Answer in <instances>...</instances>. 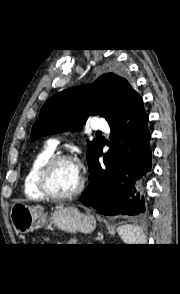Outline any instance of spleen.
<instances>
[{
	"instance_id": "1",
	"label": "spleen",
	"mask_w": 180,
	"mask_h": 294,
	"mask_svg": "<svg viewBox=\"0 0 180 294\" xmlns=\"http://www.w3.org/2000/svg\"><path fill=\"white\" fill-rule=\"evenodd\" d=\"M118 233L125 244H143L145 235L140 227L125 224L118 227Z\"/></svg>"
}]
</instances>
